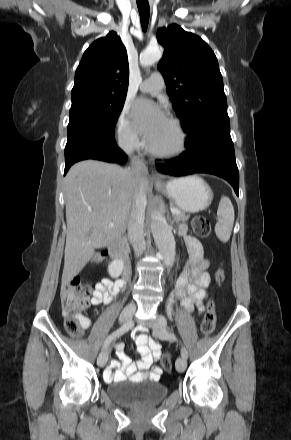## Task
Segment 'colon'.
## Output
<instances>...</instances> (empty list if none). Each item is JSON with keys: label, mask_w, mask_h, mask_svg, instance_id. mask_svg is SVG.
<instances>
[{"label": "colon", "mask_w": 291, "mask_h": 440, "mask_svg": "<svg viewBox=\"0 0 291 440\" xmlns=\"http://www.w3.org/2000/svg\"><path fill=\"white\" fill-rule=\"evenodd\" d=\"M192 228L196 235L206 237L210 234V224L204 216H196L192 222ZM221 278V274H219ZM92 285L90 281L83 277L75 278L70 284L61 288L62 315L64 316V327L74 338L82 335V326L78 318L91 306ZM216 315L213 306L207 309L201 323V332L204 335L210 334L215 328ZM162 365L168 372L172 371L173 363L171 357L165 354L162 357Z\"/></svg>", "instance_id": "colon-1"}]
</instances>
